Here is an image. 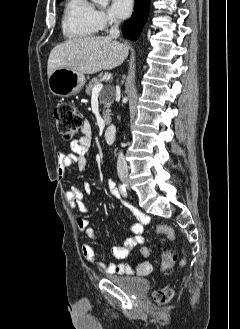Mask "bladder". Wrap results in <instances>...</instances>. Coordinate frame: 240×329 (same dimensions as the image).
Listing matches in <instances>:
<instances>
[{
	"mask_svg": "<svg viewBox=\"0 0 240 329\" xmlns=\"http://www.w3.org/2000/svg\"><path fill=\"white\" fill-rule=\"evenodd\" d=\"M110 280L132 294H144L149 290V281L145 278L131 276L111 277Z\"/></svg>",
	"mask_w": 240,
	"mask_h": 329,
	"instance_id": "obj_1",
	"label": "bladder"
}]
</instances>
